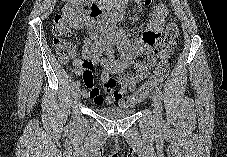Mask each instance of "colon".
<instances>
[{
    "label": "colon",
    "instance_id": "obj_1",
    "mask_svg": "<svg viewBox=\"0 0 227 157\" xmlns=\"http://www.w3.org/2000/svg\"><path fill=\"white\" fill-rule=\"evenodd\" d=\"M70 34V28L63 18L61 16H56L52 27V44L57 58L63 63L69 62L75 54V46L73 43L65 39L70 36ZM178 36V24L175 21L169 22L165 28L164 34L158 40L155 50L148 57L143 70L145 71L152 67L158 59H160V62L153 74L143 85H141L131 95L122 98V107L129 108L142 102L149 96L155 87L162 84L169 73L168 59L175 48Z\"/></svg>",
    "mask_w": 227,
    "mask_h": 157
}]
</instances>
